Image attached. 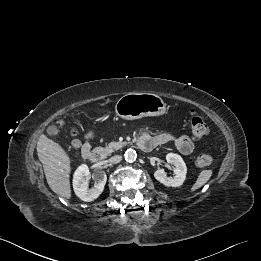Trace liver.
<instances>
[{"label":"liver","mask_w":261,"mask_h":261,"mask_svg":"<svg viewBox=\"0 0 261 261\" xmlns=\"http://www.w3.org/2000/svg\"><path fill=\"white\" fill-rule=\"evenodd\" d=\"M37 154L43 165L47 183L57 195L70 199L71 160L59 143L42 135L37 143Z\"/></svg>","instance_id":"6515ba94"}]
</instances>
